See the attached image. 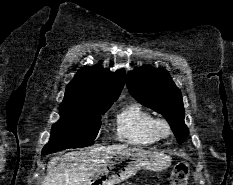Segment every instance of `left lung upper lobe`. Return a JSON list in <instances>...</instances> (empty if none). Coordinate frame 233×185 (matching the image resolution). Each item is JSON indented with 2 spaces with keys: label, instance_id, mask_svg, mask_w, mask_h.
I'll return each instance as SVG.
<instances>
[{
  "label": "left lung upper lobe",
  "instance_id": "left-lung-upper-lobe-1",
  "mask_svg": "<svg viewBox=\"0 0 233 185\" xmlns=\"http://www.w3.org/2000/svg\"><path fill=\"white\" fill-rule=\"evenodd\" d=\"M126 85L137 101L166 118L179 144L185 141L189 130L184 123L181 91L166 70L150 66L134 69L128 72Z\"/></svg>",
  "mask_w": 233,
  "mask_h": 185
}]
</instances>
